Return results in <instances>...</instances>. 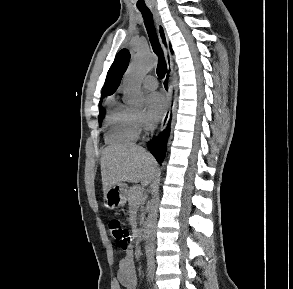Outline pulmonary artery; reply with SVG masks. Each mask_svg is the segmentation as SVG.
<instances>
[{"mask_svg": "<svg viewBox=\"0 0 293 289\" xmlns=\"http://www.w3.org/2000/svg\"><path fill=\"white\" fill-rule=\"evenodd\" d=\"M143 85L149 90H154L158 87V81L154 76L149 75L143 79Z\"/></svg>", "mask_w": 293, "mask_h": 289, "instance_id": "e3ab8cb5", "label": "pulmonary artery"}]
</instances>
